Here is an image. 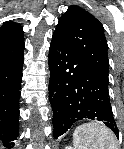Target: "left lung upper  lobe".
Segmentation results:
<instances>
[{"label": "left lung upper lobe", "instance_id": "left-lung-upper-lobe-1", "mask_svg": "<svg viewBox=\"0 0 124 149\" xmlns=\"http://www.w3.org/2000/svg\"><path fill=\"white\" fill-rule=\"evenodd\" d=\"M56 32L100 75L108 78V45L104 28L91 13L72 5L60 18Z\"/></svg>", "mask_w": 124, "mask_h": 149}]
</instances>
